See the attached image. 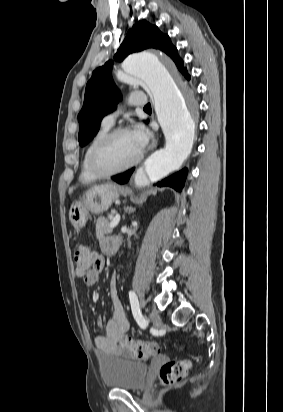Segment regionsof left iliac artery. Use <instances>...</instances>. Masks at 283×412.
I'll return each instance as SVG.
<instances>
[{
	"label": "left iliac artery",
	"instance_id": "44dca946",
	"mask_svg": "<svg viewBox=\"0 0 283 412\" xmlns=\"http://www.w3.org/2000/svg\"><path fill=\"white\" fill-rule=\"evenodd\" d=\"M129 299H130L132 314L136 322L141 328H145L147 325V322L141 313L138 297L135 294V292L129 291Z\"/></svg>",
	"mask_w": 283,
	"mask_h": 412
}]
</instances>
